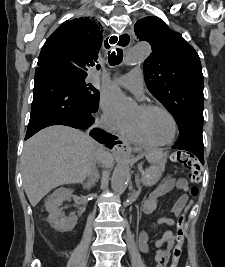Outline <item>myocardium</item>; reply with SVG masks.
Returning <instances> with one entry per match:
<instances>
[{
	"label": "myocardium",
	"instance_id": "f54148a6",
	"mask_svg": "<svg viewBox=\"0 0 225 267\" xmlns=\"http://www.w3.org/2000/svg\"><path fill=\"white\" fill-rule=\"evenodd\" d=\"M141 109L145 112H149V111H153V110H158L161 111L163 113H165L172 121L173 126H174V134L173 137L167 141V142H154L153 140H151V138L148 136V134L146 133V131L144 130L143 126L138 123V122H134L133 124L136 127L137 131L140 133V135L147 141L149 142L151 145H153L154 147H164V146H168L173 144L177 137H178V133H179V126H178V122L176 120V118L174 117V115L165 107L160 106V105H156V104H143L140 106Z\"/></svg>",
	"mask_w": 225,
	"mask_h": 267
}]
</instances>
